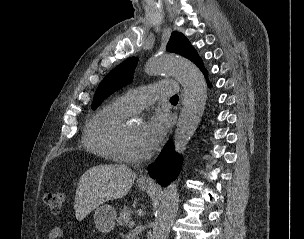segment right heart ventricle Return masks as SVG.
Returning <instances> with one entry per match:
<instances>
[{
  "instance_id": "e07e8e85",
  "label": "right heart ventricle",
  "mask_w": 304,
  "mask_h": 239,
  "mask_svg": "<svg viewBox=\"0 0 304 239\" xmlns=\"http://www.w3.org/2000/svg\"><path fill=\"white\" fill-rule=\"evenodd\" d=\"M133 110L120 99L100 108L88 121L83 134L84 147L110 161H122L116 146L119 130Z\"/></svg>"
}]
</instances>
